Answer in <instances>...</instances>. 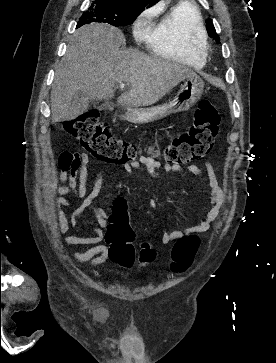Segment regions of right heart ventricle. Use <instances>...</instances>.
I'll use <instances>...</instances> for the list:
<instances>
[{"label": "right heart ventricle", "mask_w": 276, "mask_h": 363, "mask_svg": "<svg viewBox=\"0 0 276 363\" xmlns=\"http://www.w3.org/2000/svg\"><path fill=\"white\" fill-rule=\"evenodd\" d=\"M203 35L200 11L192 3L182 1L165 12L149 33L147 43L156 56L200 69L205 65L206 51L199 49L193 38Z\"/></svg>", "instance_id": "right-heart-ventricle-1"}]
</instances>
